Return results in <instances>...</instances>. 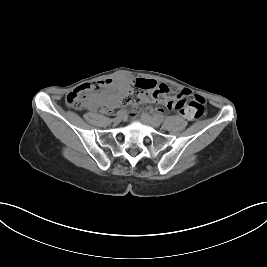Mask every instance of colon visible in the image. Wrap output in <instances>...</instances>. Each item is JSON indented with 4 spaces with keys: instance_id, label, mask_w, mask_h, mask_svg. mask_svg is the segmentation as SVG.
I'll list each match as a JSON object with an SVG mask.
<instances>
[{
    "instance_id": "obj_1",
    "label": "colon",
    "mask_w": 267,
    "mask_h": 267,
    "mask_svg": "<svg viewBox=\"0 0 267 267\" xmlns=\"http://www.w3.org/2000/svg\"><path fill=\"white\" fill-rule=\"evenodd\" d=\"M86 88L84 86L77 87L69 92L66 96V103L74 109H82L86 103ZM182 101L176 106V111L188 119H197L205 113V99L197 94L191 93L190 90L181 92ZM172 96L169 95V89L166 85H158L156 82L148 79H136L129 90L119 100L117 97L115 102H121L124 105H135L139 102L151 101L157 104L169 105Z\"/></svg>"
}]
</instances>
